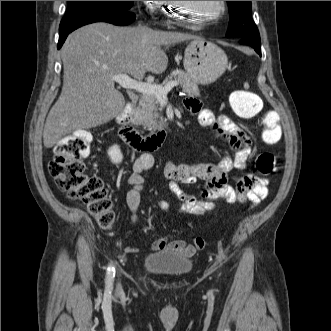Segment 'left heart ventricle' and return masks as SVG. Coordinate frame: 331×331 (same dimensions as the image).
Instances as JSON below:
<instances>
[{
  "mask_svg": "<svg viewBox=\"0 0 331 331\" xmlns=\"http://www.w3.org/2000/svg\"><path fill=\"white\" fill-rule=\"evenodd\" d=\"M180 14L184 19L198 21L218 12L219 1H183Z\"/></svg>",
  "mask_w": 331,
  "mask_h": 331,
  "instance_id": "left-heart-ventricle-1",
  "label": "left heart ventricle"
}]
</instances>
